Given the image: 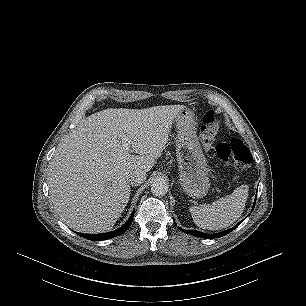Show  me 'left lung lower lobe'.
Here are the masks:
<instances>
[{
  "label": "left lung lower lobe",
  "instance_id": "1",
  "mask_svg": "<svg viewBox=\"0 0 306 306\" xmlns=\"http://www.w3.org/2000/svg\"><path fill=\"white\" fill-rule=\"evenodd\" d=\"M255 203H256V198H255V202H254V205H253V208H252V211L255 207ZM243 221V220H242ZM240 221L237 225H235L233 228L229 229V230H225L223 232H220V233H214V234H206V233H202L200 231H194V230H185V229H181L179 228L180 230H182L183 232L185 233H188V234H191V235H194V236H197V237H201V238H207V239H214V238H220L228 233H230L232 230H234L237 226L240 225V223L242 222Z\"/></svg>",
  "mask_w": 306,
  "mask_h": 306
}]
</instances>
